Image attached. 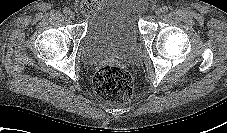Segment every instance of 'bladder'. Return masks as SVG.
I'll list each match as a JSON object with an SVG mask.
<instances>
[{
    "instance_id": "31cf9c89",
    "label": "bladder",
    "mask_w": 227,
    "mask_h": 133,
    "mask_svg": "<svg viewBox=\"0 0 227 133\" xmlns=\"http://www.w3.org/2000/svg\"><path fill=\"white\" fill-rule=\"evenodd\" d=\"M142 0H101L90 16L80 45L83 62L115 58L134 61L139 53Z\"/></svg>"
}]
</instances>
